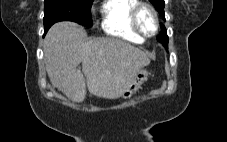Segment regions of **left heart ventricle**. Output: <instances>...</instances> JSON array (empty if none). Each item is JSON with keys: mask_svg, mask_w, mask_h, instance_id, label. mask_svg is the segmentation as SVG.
<instances>
[{"mask_svg": "<svg viewBox=\"0 0 227 142\" xmlns=\"http://www.w3.org/2000/svg\"><path fill=\"white\" fill-rule=\"evenodd\" d=\"M140 24L142 29L147 34L153 33L155 29V24L152 14L149 11L147 10L142 11V13L140 14Z\"/></svg>", "mask_w": 227, "mask_h": 142, "instance_id": "obj_1", "label": "left heart ventricle"}]
</instances>
